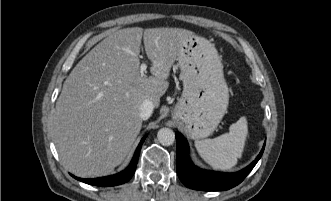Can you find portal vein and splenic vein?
Here are the masks:
<instances>
[{
  "mask_svg": "<svg viewBox=\"0 0 331 201\" xmlns=\"http://www.w3.org/2000/svg\"><path fill=\"white\" fill-rule=\"evenodd\" d=\"M147 69V65L145 63H142L140 66V72L141 74H143Z\"/></svg>",
  "mask_w": 331,
  "mask_h": 201,
  "instance_id": "18ae733b",
  "label": "portal vein and splenic vein"
}]
</instances>
